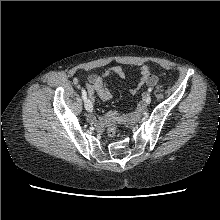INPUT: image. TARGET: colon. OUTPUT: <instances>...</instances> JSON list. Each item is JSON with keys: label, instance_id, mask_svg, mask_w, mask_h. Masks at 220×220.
Listing matches in <instances>:
<instances>
[{"label": "colon", "instance_id": "colon-1", "mask_svg": "<svg viewBox=\"0 0 220 220\" xmlns=\"http://www.w3.org/2000/svg\"><path fill=\"white\" fill-rule=\"evenodd\" d=\"M117 134V125L113 120V117L109 119V124L107 127V135L110 138H114Z\"/></svg>", "mask_w": 220, "mask_h": 220}]
</instances>
